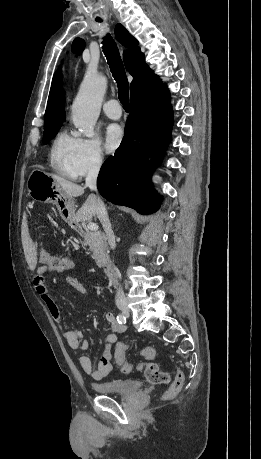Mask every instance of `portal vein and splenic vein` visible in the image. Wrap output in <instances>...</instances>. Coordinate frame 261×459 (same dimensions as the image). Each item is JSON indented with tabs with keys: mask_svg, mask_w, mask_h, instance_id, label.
Listing matches in <instances>:
<instances>
[{
	"mask_svg": "<svg viewBox=\"0 0 261 459\" xmlns=\"http://www.w3.org/2000/svg\"><path fill=\"white\" fill-rule=\"evenodd\" d=\"M87 228L91 231H97L98 230V225L96 223H88L87 224Z\"/></svg>",
	"mask_w": 261,
	"mask_h": 459,
	"instance_id": "1",
	"label": "portal vein and splenic vein"
}]
</instances>
